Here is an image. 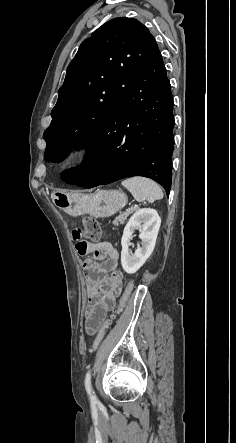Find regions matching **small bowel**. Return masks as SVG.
Returning <instances> with one entry per match:
<instances>
[{"instance_id":"1","label":"small bowel","mask_w":236,"mask_h":443,"mask_svg":"<svg viewBox=\"0 0 236 443\" xmlns=\"http://www.w3.org/2000/svg\"><path fill=\"white\" fill-rule=\"evenodd\" d=\"M85 255L93 253L94 258L85 259L83 268L87 274V310L85 329L88 334H94L103 323L107 312L115 306L116 297L121 293L123 287V273L118 269L119 251L110 243H87ZM109 273L106 277L105 274Z\"/></svg>"}]
</instances>
